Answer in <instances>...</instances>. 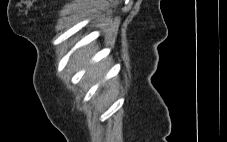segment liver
Listing matches in <instances>:
<instances>
[{"label": "liver", "instance_id": "1", "mask_svg": "<svg viewBox=\"0 0 227 142\" xmlns=\"http://www.w3.org/2000/svg\"><path fill=\"white\" fill-rule=\"evenodd\" d=\"M97 49V46L94 44H91L90 46L84 48L83 50H81L80 52H78L73 59V62H80L85 64L90 57L95 53ZM107 62L101 63L98 66H95L93 69H91L90 73L91 74H95V75H100L102 69L107 65Z\"/></svg>", "mask_w": 227, "mask_h": 142}]
</instances>
